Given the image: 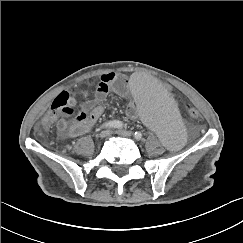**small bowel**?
Here are the masks:
<instances>
[{
  "instance_id": "small-bowel-1",
  "label": "small bowel",
  "mask_w": 243,
  "mask_h": 243,
  "mask_svg": "<svg viewBox=\"0 0 243 243\" xmlns=\"http://www.w3.org/2000/svg\"><path fill=\"white\" fill-rule=\"evenodd\" d=\"M126 82L127 77L123 74H103L98 83L95 97L81 106L77 116L71 120L61 118L57 121V130L60 135L72 138L88 133L104 112L103 101L106 99L110 88H113L120 95H126ZM70 114L63 115L69 116ZM126 114L129 118L136 119L134 104L127 107Z\"/></svg>"
}]
</instances>
